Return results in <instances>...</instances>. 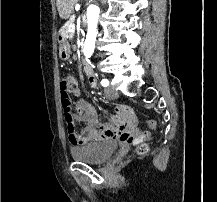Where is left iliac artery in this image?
<instances>
[{"label":"left iliac artery","mask_w":217,"mask_h":202,"mask_svg":"<svg viewBox=\"0 0 217 202\" xmlns=\"http://www.w3.org/2000/svg\"><path fill=\"white\" fill-rule=\"evenodd\" d=\"M101 85L104 86V87H107L109 85V81L107 79H103L101 81Z\"/></svg>","instance_id":"obj_1"}]
</instances>
